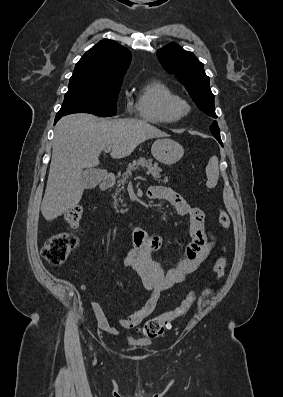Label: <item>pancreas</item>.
<instances>
[{"label": "pancreas", "mask_w": 283, "mask_h": 397, "mask_svg": "<svg viewBox=\"0 0 283 397\" xmlns=\"http://www.w3.org/2000/svg\"><path fill=\"white\" fill-rule=\"evenodd\" d=\"M140 167L144 168L146 174H151L155 180H158V182H163V183L168 182V178L166 176L164 177L163 180H161L162 169L158 166V163L156 162L153 163L152 159H145L141 157L130 163L127 166L126 171L122 174V176L119 177L117 183L116 195L120 193L121 190H124V185L128 182V179L130 178L132 171L138 170Z\"/></svg>", "instance_id": "1"}]
</instances>
